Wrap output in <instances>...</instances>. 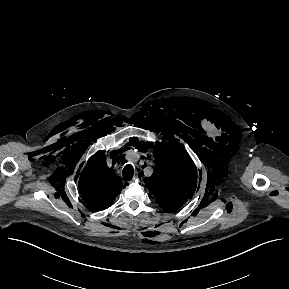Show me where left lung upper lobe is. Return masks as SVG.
<instances>
[{"label": "left lung upper lobe", "mask_w": 289, "mask_h": 289, "mask_svg": "<svg viewBox=\"0 0 289 289\" xmlns=\"http://www.w3.org/2000/svg\"><path fill=\"white\" fill-rule=\"evenodd\" d=\"M168 142L156 150V168L144 182L160 207L174 211L193 196L197 171L187 152L175 140Z\"/></svg>", "instance_id": "left-lung-upper-lobe-1"}]
</instances>
